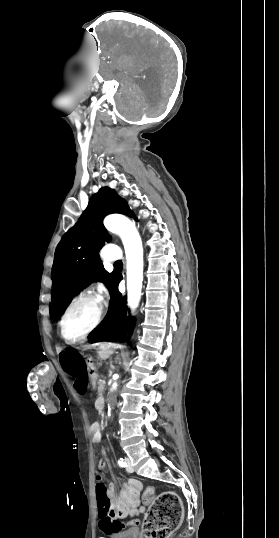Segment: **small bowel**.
I'll return each instance as SVG.
<instances>
[{
  "label": "small bowel",
  "instance_id": "obj_1",
  "mask_svg": "<svg viewBox=\"0 0 279 538\" xmlns=\"http://www.w3.org/2000/svg\"><path fill=\"white\" fill-rule=\"evenodd\" d=\"M74 387L79 394H84L90 387L88 378L85 375L76 376ZM91 432L93 441L98 442L101 439L98 423L91 426ZM106 465L107 461L101 459L98 467L103 469ZM141 491L142 483L136 479H129L124 482L120 490H117L114 483L109 484L108 494L111 498L114 513L110 517L100 516V528L104 533L109 534L123 529H132L138 525L137 519L129 520L126 523L122 522V520L134 517L142 510Z\"/></svg>",
  "mask_w": 279,
  "mask_h": 538
}]
</instances>
